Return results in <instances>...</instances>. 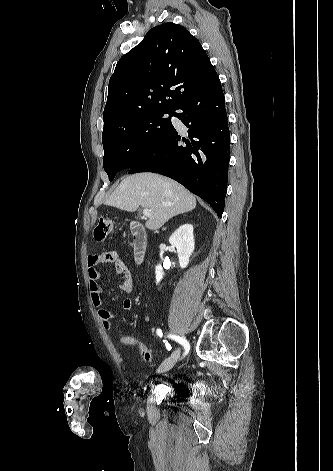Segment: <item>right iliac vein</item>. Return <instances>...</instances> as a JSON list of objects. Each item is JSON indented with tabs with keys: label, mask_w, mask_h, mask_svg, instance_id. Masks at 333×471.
<instances>
[{
	"label": "right iliac vein",
	"mask_w": 333,
	"mask_h": 471,
	"mask_svg": "<svg viewBox=\"0 0 333 471\" xmlns=\"http://www.w3.org/2000/svg\"><path fill=\"white\" fill-rule=\"evenodd\" d=\"M179 355H180L179 350H176L175 352H173V354L157 370V373L161 374V373H165L169 371L172 368L175 360L179 357Z\"/></svg>",
	"instance_id": "1"
}]
</instances>
